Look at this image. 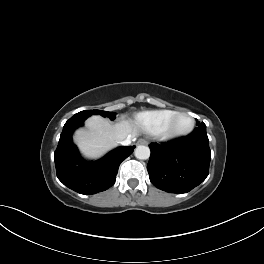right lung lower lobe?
<instances>
[{"label":"right lung lower lobe","instance_id":"98d812e1","mask_svg":"<svg viewBox=\"0 0 264 264\" xmlns=\"http://www.w3.org/2000/svg\"><path fill=\"white\" fill-rule=\"evenodd\" d=\"M85 119L73 116L65 123L54 160L57 177L64 185L80 194H95L114 185L119 165L135 146L118 147L98 161L83 160L72 142V133Z\"/></svg>","mask_w":264,"mask_h":264}]
</instances>
